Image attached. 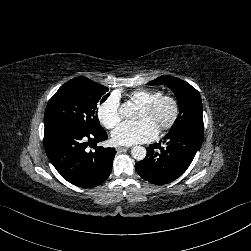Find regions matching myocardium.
<instances>
[{"label":"myocardium","mask_w":251,"mask_h":251,"mask_svg":"<svg viewBox=\"0 0 251 251\" xmlns=\"http://www.w3.org/2000/svg\"><path fill=\"white\" fill-rule=\"evenodd\" d=\"M164 102H170L173 105L174 111L172 118L168 122L159 126V128L163 131L173 128L178 123L181 116V103L179 99L172 94H162L150 103L141 106L142 109L148 112H153Z\"/></svg>","instance_id":"1"}]
</instances>
